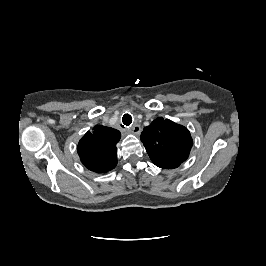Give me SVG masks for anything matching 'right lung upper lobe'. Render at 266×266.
<instances>
[{
    "mask_svg": "<svg viewBox=\"0 0 266 266\" xmlns=\"http://www.w3.org/2000/svg\"><path fill=\"white\" fill-rule=\"evenodd\" d=\"M121 138L120 131L96 125L79 141L77 152L83 165L96 173H106L117 165L116 144Z\"/></svg>",
    "mask_w": 266,
    "mask_h": 266,
    "instance_id": "cb5924a9",
    "label": "right lung upper lobe"
}]
</instances>
